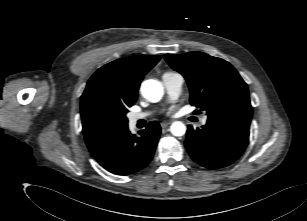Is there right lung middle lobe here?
Instances as JSON below:
<instances>
[{"instance_id":"dd1d6c3e","label":"right lung middle lobe","mask_w":307,"mask_h":221,"mask_svg":"<svg viewBox=\"0 0 307 221\" xmlns=\"http://www.w3.org/2000/svg\"><path fill=\"white\" fill-rule=\"evenodd\" d=\"M127 107L101 102L94 114V125L103 133L121 131L127 128Z\"/></svg>"}]
</instances>
